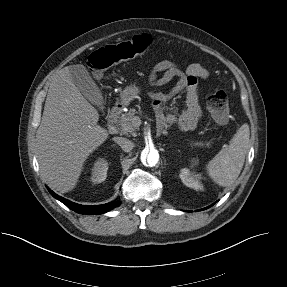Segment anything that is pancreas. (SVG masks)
Wrapping results in <instances>:
<instances>
[{"label":"pancreas","mask_w":287,"mask_h":287,"mask_svg":"<svg viewBox=\"0 0 287 287\" xmlns=\"http://www.w3.org/2000/svg\"><path fill=\"white\" fill-rule=\"evenodd\" d=\"M137 113L136 109L132 108L121 115L118 123L123 134L135 135L136 131L139 130L140 121L135 120ZM207 145H210V142H207Z\"/></svg>","instance_id":"cf45deb5"}]
</instances>
